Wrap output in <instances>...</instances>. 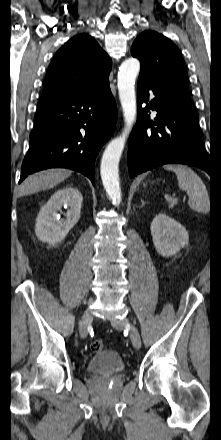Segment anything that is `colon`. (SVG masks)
<instances>
[{"label": "colon", "instance_id": "obj_1", "mask_svg": "<svg viewBox=\"0 0 221 440\" xmlns=\"http://www.w3.org/2000/svg\"><path fill=\"white\" fill-rule=\"evenodd\" d=\"M105 343L102 340H95L91 343V348L94 351H102L105 348Z\"/></svg>", "mask_w": 221, "mask_h": 440}]
</instances>
